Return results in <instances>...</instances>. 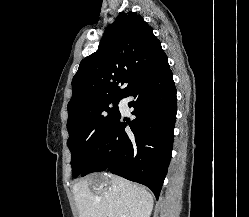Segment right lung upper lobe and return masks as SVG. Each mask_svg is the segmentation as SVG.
I'll use <instances>...</instances> for the list:
<instances>
[{
	"label": "right lung upper lobe",
	"instance_id": "1",
	"mask_svg": "<svg viewBox=\"0 0 249 217\" xmlns=\"http://www.w3.org/2000/svg\"><path fill=\"white\" fill-rule=\"evenodd\" d=\"M162 53L160 41L140 15L119 14L98 50L81 61L73 77L69 115L96 101L124 97Z\"/></svg>",
	"mask_w": 249,
	"mask_h": 217
}]
</instances>
